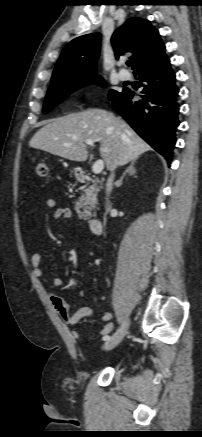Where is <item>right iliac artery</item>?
<instances>
[{"mask_svg": "<svg viewBox=\"0 0 202 437\" xmlns=\"http://www.w3.org/2000/svg\"><path fill=\"white\" fill-rule=\"evenodd\" d=\"M108 339H110V336H108V335L103 337V340H105V341L108 340Z\"/></svg>", "mask_w": 202, "mask_h": 437, "instance_id": "82829eb1", "label": "right iliac artery"}]
</instances>
